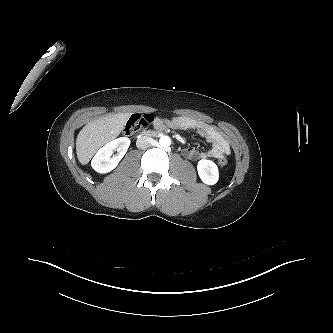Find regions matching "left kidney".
<instances>
[{
    "label": "left kidney",
    "instance_id": "left-kidney-1",
    "mask_svg": "<svg viewBox=\"0 0 333 333\" xmlns=\"http://www.w3.org/2000/svg\"><path fill=\"white\" fill-rule=\"evenodd\" d=\"M197 170L201 180L207 185H214L219 179L217 165L211 161L202 159L198 162Z\"/></svg>",
    "mask_w": 333,
    "mask_h": 333
}]
</instances>
